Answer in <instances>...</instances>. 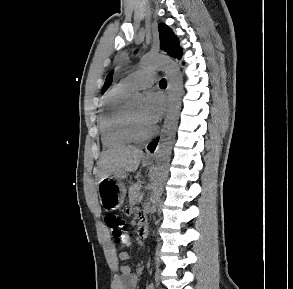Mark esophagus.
Listing matches in <instances>:
<instances>
[{
  "instance_id": "1",
  "label": "esophagus",
  "mask_w": 293,
  "mask_h": 289,
  "mask_svg": "<svg viewBox=\"0 0 293 289\" xmlns=\"http://www.w3.org/2000/svg\"><path fill=\"white\" fill-rule=\"evenodd\" d=\"M162 133L160 135H158L153 141H151L150 143L147 144L145 150V157L144 159L146 161H153L155 158V154L157 152V149L161 143L162 140Z\"/></svg>"
}]
</instances>
